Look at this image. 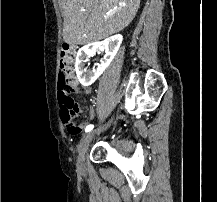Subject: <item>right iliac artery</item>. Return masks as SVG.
<instances>
[{
    "instance_id": "right-iliac-artery-1",
    "label": "right iliac artery",
    "mask_w": 217,
    "mask_h": 202,
    "mask_svg": "<svg viewBox=\"0 0 217 202\" xmlns=\"http://www.w3.org/2000/svg\"><path fill=\"white\" fill-rule=\"evenodd\" d=\"M94 128V125L90 124L85 128V132H89Z\"/></svg>"
}]
</instances>
